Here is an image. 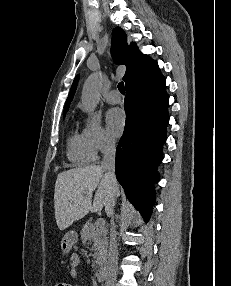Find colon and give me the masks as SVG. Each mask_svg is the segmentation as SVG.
<instances>
[{
    "mask_svg": "<svg viewBox=\"0 0 231 286\" xmlns=\"http://www.w3.org/2000/svg\"><path fill=\"white\" fill-rule=\"evenodd\" d=\"M55 286H72V285L68 282H58Z\"/></svg>",
    "mask_w": 231,
    "mask_h": 286,
    "instance_id": "1",
    "label": "colon"
}]
</instances>
